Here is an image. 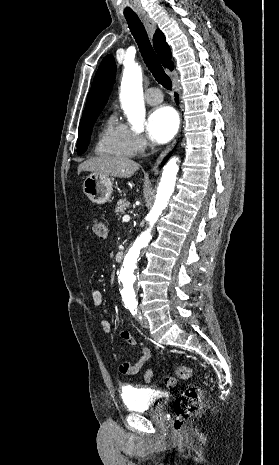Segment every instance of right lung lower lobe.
Listing matches in <instances>:
<instances>
[{"instance_id": "98d812e1", "label": "right lung lower lobe", "mask_w": 279, "mask_h": 465, "mask_svg": "<svg viewBox=\"0 0 279 465\" xmlns=\"http://www.w3.org/2000/svg\"><path fill=\"white\" fill-rule=\"evenodd\" d=\"M175 96H176V102H177V101H178V99H177V94H175ZM167 159H168V157L165 158L163 164L166 162Z\"/></svg>"}]
</instances>
